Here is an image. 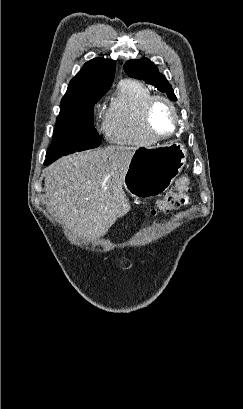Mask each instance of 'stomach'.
I'll return each mask as SVG.
<instances>
[{
  "instance_id": "0dacf381",
  "label": "stomach",
  "mask_w": 243,
  "mask_h": 409,
  "mask_svg": "<svg viewBox=\"0 0 243 409\" xmlns=\"http://www.w3.org/2000/svg\"><path fill=\"white\" fill-rule=\"evenodd\" d=\"M186 158L187 150L178 142L136 149L125 176V190L135 197L164 192L182 170Z\"/></svg>"
}]
</instances>
